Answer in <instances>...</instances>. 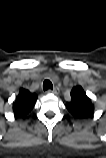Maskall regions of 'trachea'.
<instances>
[{"label": "trachea", "instance_id": "3493384b", "mask_svg": "<svg viewBox=\"0 0 106 158\" xmlns=\"http://www.w3.org/2000/svg\"><path fill=\"white\" fill-rule=\"evenodd\" d=\"M49 89H53V84L50 80H45L43 82V90L46 91V90H49Z\"/></svg>", "mask_w": 106, "mask_h": 158}]
</instances>
